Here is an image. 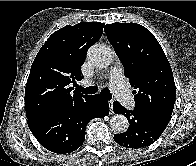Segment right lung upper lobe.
Returning a JSON list of instances; mask_svg holds the SVG:
<instances>
[{
	"label": "right lung upper lobe",
	"mask_w": 196,
	"mask_h": 166,
	"mask_svg": "<svg viewBox=\"0 0 196 166\" xmlns=\"http://www.w3.org/2000/svg\"><path fill=\"white\" fill-rule=\"evenodd\" d=\"M104 23L81 22L54 32L39 50L25 88L28 120L58 112L86 98L70 84L82 79L87 51L103 33Z\"/></svg>",
	"instance_id": "right-lung-upper-lobe-1"
}]
</instances>
